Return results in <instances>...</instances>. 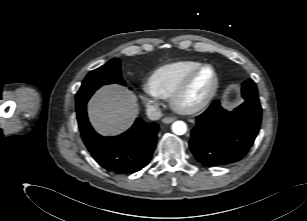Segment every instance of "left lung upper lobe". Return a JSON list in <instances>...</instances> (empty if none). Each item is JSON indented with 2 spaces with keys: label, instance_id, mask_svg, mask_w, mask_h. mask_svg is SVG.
Returning <instances> with one entry per match:
<instances>
[{
  "label": "left lung upper lobe",
  "instance_id": "1",
  "mask_svg": "<svg viewBox=\"0 0 307 221\" xmlns=\"http://www.w3.org/2000/svg\"><path fill=\"white\" fill-rule=\"evenodd\" d=\"M242 85H243L242 87L243 92H246V91L256 92L257 91L256 84L251 79L246 80L245 82H243Z\"/></svg>",
  "mask_w": 307,
  "mask_h": 221
}]
</instances>
